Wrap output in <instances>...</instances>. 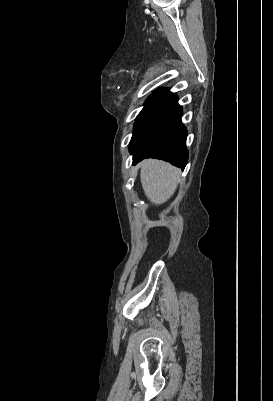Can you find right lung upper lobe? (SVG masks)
Segmentation results:
<instances>
[{"instance_id": "obj_1", "label": "right lung upper lobe", "mask_w": 273, "mask_h": 401, "mask_svg": "<svg viewBox=\"0 0 273 401\" xmlns=\"http://www.w3.org/2000/svg\"><path fill=\"white\" fill-rule=\"evenodd\" d=\"M151 96H161V97L173 98V97H175V94L171 93L168 89L164 88V89H159V90L155 91L154 94Z\"/></svg>"}]
</instances>
